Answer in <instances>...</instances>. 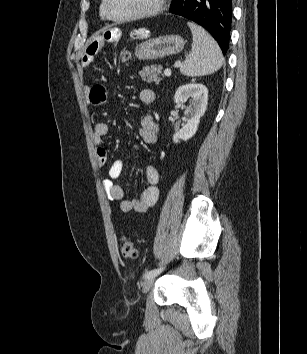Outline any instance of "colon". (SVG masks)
Masks as SVG:
<instances>
[{
	"label": "colon",
	"mask_w": 307,
	"mask_h": 354,
	"mask_svg": "<svg viewBox=\"0 0 307 354\" xmlns=\"http://www.w3.org/2000/svg\"><path fill=\"white\" fill-rule=\"evenodd\" d=\"M131 57V53L128 50L121 51L119 58L122 62H127ZM120 249L124 257L135 259L138 256V249L135 242L128 236H122L120 238Z\"/></svg>",
	"instance_id": "obj_1"
}]
</instances>
